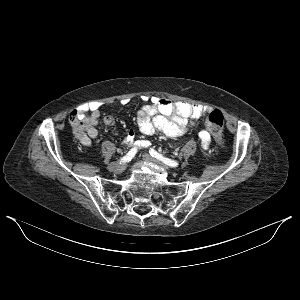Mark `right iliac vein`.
<instances>
[{"label": "right iliac vein", "mask_w": 300, "mask_h": 300, "mask_svg": "<svg viewBox=\"0 0 300 300\" xmlns=\"http://www.w3.org/2000/svg\"><path fill=\"white\" fill-rule=\"evenodd\" d=\"M125 165H126L125 163L115 162V163H111L108 166V169L116 173H121L125 169Z\"/></svg>", "instance_id": "right-iliac-vein-1"}]
</instances>
